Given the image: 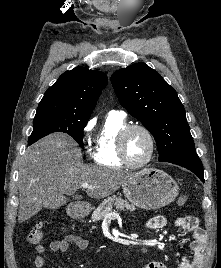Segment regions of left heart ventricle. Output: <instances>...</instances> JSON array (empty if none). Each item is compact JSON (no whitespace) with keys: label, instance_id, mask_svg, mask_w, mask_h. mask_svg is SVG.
I'll use <instances>...</instances> for the list:
<instances>
[{"label":"left heart ventricle","instance_id":"obj_1","mask_svg":"<svg viewBox=\"0 0 221 268\" xmlns=\"http://www.w3.org/2000/svg\"><path fill=\"white\" fill-rule=\"evenodd\" d=\"M150 151V141L141 130L131 131L126 139V152L129 160L135 164L143 162Z\"/></svg>","mask_w":221,"mask_h":268}]
</instances>
